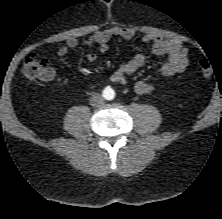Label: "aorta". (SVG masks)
Returning a JSON list of instances; mask_svg holds the SVG:
<instances>
[{"label":"aorta","instance_id":"1","mask_svg":"<svg viewBox=\"0 0 222 219\" xmlns=\"http://www.w3.org/2000/svg\"><path fill=\"white\" fill-rule=\"evenodd\" d=\"M106 94L110 97H112L114 95V92L110 89L109 91L106 90Z\"/></svg>","mask_w":222,"mask_h":219}]
</instances>
